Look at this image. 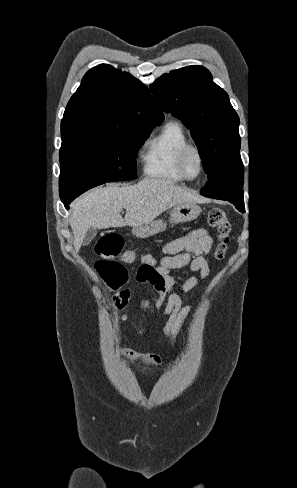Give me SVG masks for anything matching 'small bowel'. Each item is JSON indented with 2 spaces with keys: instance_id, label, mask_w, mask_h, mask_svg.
<instances>
[{
  "instance_id": "small-bowel-1",
  "label": "small bowel",
  "mask_w": 297,
  "mask_h": 488,
  "mask_svg": "<svg viewBox=\"0 0 297 488\" xmlns=\"http://www.w3.org/2000/svg\"><path fill=\"white\" fill-rule=\"evenodd\" d=\"M213 246V239L204 228H198L166 243L157 258V265L151 272L149 283L158 293L155 302L154 314L157 318L168 316L165 336L174 346V338L183 320L193 312L192 306H183L181 295L200 288V279L193 274L199 273L201 279H206L209 274L207 256ZM131 258L122 256L121 259L128 264L141 263L142 255L138 256L134 251H126ZM186 268L183 273L176 270ZM144 308L149 310L147 299L141 301ZM122 355L140 372L148 373L161 363L158 354H142L126 345L122 347Z\"/></svg>"
}]
</instances>
